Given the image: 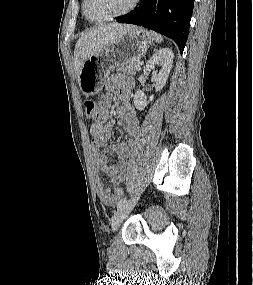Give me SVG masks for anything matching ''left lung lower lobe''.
<instances>
[{"instance_id":"obj_1","label":"left lung lower lobe","mask_w":253,"mask_h":285,"mask_svg":"<svg viewBox=\"0 0 253 285\" xmlns=\"http://www.w3.org/2000/svg\"><path fill=\"white\" fill-rule=\"evenodd\" d=\"M194 0H144L121 23L142 25L173 39L182 53L187 42Z\"/></svg>"}]
</instances>
